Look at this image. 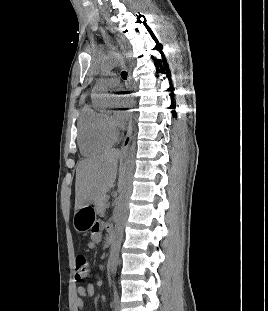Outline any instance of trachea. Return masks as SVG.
Returning <instances> with one entry per match:
<instances>
[{
	"instance_id": "trachea-1",
	"label": "trachea",
	"mask_w": 268,
	"mask_h": 311,
	"mask_svg": "<svg viewBox=\"0 0 268 311\" xmlns=\"http://www.w3.org/2000/svg\"><path fill=\"white\" fill-rule=\"evenodd\" d=\"M121 77H122L124 80H126V79H127V72H126V71H122Z\"/></svg>"
}]
</instances>
